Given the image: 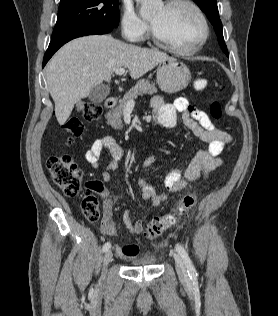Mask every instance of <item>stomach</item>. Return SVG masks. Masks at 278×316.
<instances>
[{"label": "stomach", "mask_w": 278, "mask_h": 316, "mask_svg": "<svg viewBox=\"0 0 278 316\" xmlns=\"http://www.w3.org/2000/svg\"><path fill=\"white\" fill-rule=\"evenodd\" d=\"M191 80L187 66L175 58L161 62L157 68V83L162 91L175 93L185 89Z\"/></svg>", "instance_id": "0dacf381"}]
</instances>
